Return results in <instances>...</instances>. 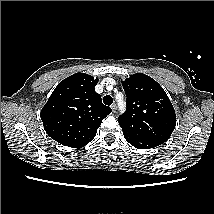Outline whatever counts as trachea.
I'll return each mask as SVG.
<instances>
[{
  "mask_svg": "<svg viewBox=\"0 0 214 214\" xmlns=\"http://www.w3.org/2000/svg\"><path fill=\"white\" fill-rule=\"evenodd\" d=\"M103 102L105 105H111L112 102H113V98L109 95H106L104 98H103Z\"/></svg>",
  "mask_w": 214,
  "mask_h": 214,
  "instance_id": "trachea-1",
  "label": "trachea"
}]
</instances>
